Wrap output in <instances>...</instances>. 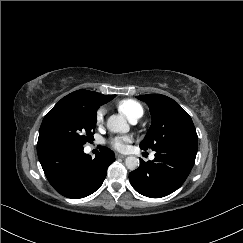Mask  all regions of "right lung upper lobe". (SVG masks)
<instances>
[{"mask_svg": "<svg viewBox=\"0 0 243 243\" xmlns=\"http://www.w3.org/2000/svg\"><path fill=\"white\" fill-rule=\"evenodd\" d=\"M115 97V95H102L100 93L94 92V91H88V90H77L74 91L64 98H62L60 101L62 102H72V103H78L82 104L84 106H87L89 108H97L109 102Z\"/></svg>", "mask_w": 243, "mask_h": 243, "instance_id": "obj_1", "label": "right lung upper lobe"}]
</instances>
